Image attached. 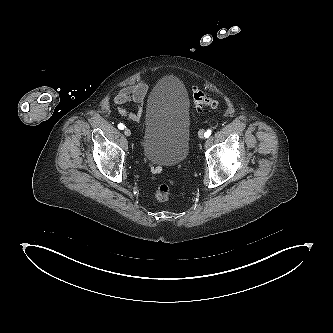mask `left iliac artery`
I'll return each instance as SVG.
<instances>
[{
    "label": "left iliac artery",
    "mask_w": 333,
    "mask_h": 333,
    "mask_svg": "<svg viewBox=\"0 0 333 333\" xmlns=\"http://www.w3.org/2000/svg\"><path fill=\"white\" fill-rule=\"evenodd\" d=\"M212 131L211 129H208L206 132H205V137L208 138L210 135H211Z\"/></svg>",
    "instance_id": "left-iliac-artery-1"
}]
</instances>
